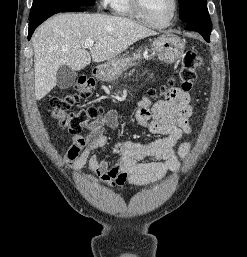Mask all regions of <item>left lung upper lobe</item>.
<instances>
[{"instance_id":"left-lung-upper-lobe-1","label":"left lung upper lobe","mask_w":247,"mask_h":257,"mask_svg":"<svg viewBox=\"0 0 247 257\" xmlns=\"http://www.w3.org/2000/svg\"><path fill=\"white\" fill-rule=\"evenodd\" d=\"M180 5L179 17L185 22H200L211 26L206 0H178Z\"/></svg>"}]
</instances>
